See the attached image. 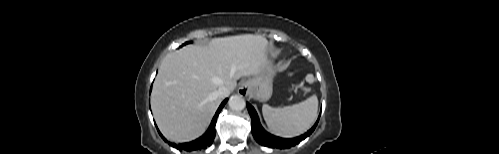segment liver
<instances>
[{
	"label": "liver",
	"instance_id": "1",
	"mask_svg": "<svg viewBox=\"0 0 499 154\" xmlns=\"http://www.w3.org/2000/svg\"><path fill=\"white\" fill-rule=\"evenodd\" d=\"M267 57V39L252 34L215 38L208 46H185L166 55L151 95L162 134L177 143L198 138L221 102L218 88L233 91L239 78L259 75Z\"/></svg>",
	"mask_w": 499,
	"mask_h": 154
}]
</instances>
